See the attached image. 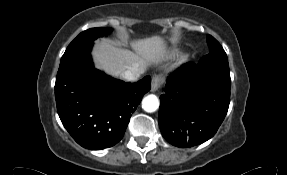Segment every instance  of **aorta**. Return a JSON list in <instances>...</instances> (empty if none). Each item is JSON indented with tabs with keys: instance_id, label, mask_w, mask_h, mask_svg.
Returning <instances> with one entry per match:
<instances>
[{
	"instance_id": "1",
	"label": "aorta",
	"mask_w": 287,
	"mask_h": 175,
	"mask_svg": "<svg viewBox=\"0 0 287 175\" xmlns=\"http://www.w3.org/2000/svg\"><path fill=\"white\" fill-rule=\"evenodd\" d=\"M142 108L146 112H154L159 108V100L157 96L150 94L143 98L142 100Z\"/></svg>"
}]
</instances>
